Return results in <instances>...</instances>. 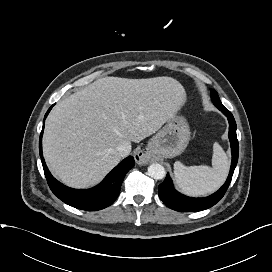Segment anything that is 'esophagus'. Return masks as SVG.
<instances>
[{
    "instance_id": "esophagus-1",
    "label": "esophagus",
    "mask_w": 272,
    "mask_h": 272,
    "mask_svg": "<svg viewBox=\"0 0 272 272\" xmlns=\"http://www.w3.org/2000/svg\"><path fill=\"white\" fill-rule=\"evenodd\" d=\"M134 157L139 165H144L148 162V157L142 151L136 152Z\"/></svg>"
}]
</instances>
